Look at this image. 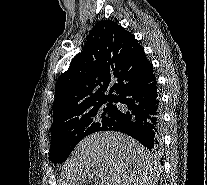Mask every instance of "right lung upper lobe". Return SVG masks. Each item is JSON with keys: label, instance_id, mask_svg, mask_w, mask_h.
Returning a JSON list of instances; mask_svg holds the SVG:
<instances>
[{"label": "right lung upper lobe", "instance_id": "obj_1", "mask_svg": "<svg viewBox=\"0 0 207 185\" xmlns=\"http://www.w3.org/2000/svg\"><path fill=\"white\" fill-rule=\"evenodd\" d=\"M152 74V64L133 34L114 21L98 22L83 52L73 58L56 83L52 127L107 102H115L127 83ZM109 85L112 87L105 95Z\"/></svg>", "mask_w": 207, "mask_h": 185}]
</instances>
